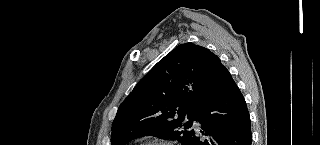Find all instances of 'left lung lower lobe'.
Here are the masks:
<instances>
[{
	"label": "left lung lower lobe",
	"instance_id": "left-lung-lower-lobe-1",
	"mask_svg": "<svg viewBox=\"0 0 320 145\" xmlns=\"http://www.w3.org/2000/svg\"><path fill=\"white\" fill-rule=\"evenodd\" d=\"M203 101L187 145H251L250 117L245 99L231 74L219 61L203 84ZM207 136L201 139L198 135Z\"/></svg>",
	"mask_w": 320,
	"mask_h": 145
}]
</instances>
